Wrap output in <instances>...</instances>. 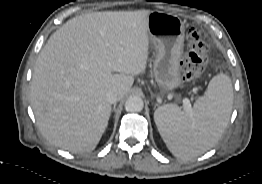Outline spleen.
Masks as SVG:
<instances>
[{"instance_id": "3e777b00", "label": "spleen", "mask_w": 262, "mask_h": 184, "mask_svg": "<svg viewBox=\"0 0 262 184\" xmlns=\"http://www.w3.org/2000/svg\"><path fill=\"white\" fill-rule=\"evenodd\" d=\"M232 107L231 79L220 73L210 80L205 95L192 109L183 111L175 104H166L155 110L154 121L170 152L179 159L191 160L219 141Z\"/></svg>"}]
</instances>
